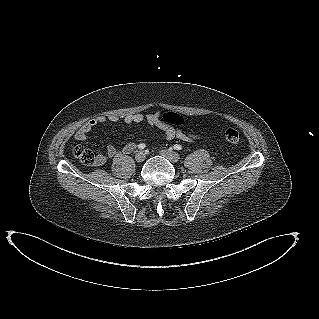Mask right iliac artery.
<instances>
[{
  "label": "right iliac artery",
  "mask_w": 319,
  "mask_h": 319,
  "mask_svg": "<svg viewBox=\"0 0 319 319\" xmlns=\"http://www.w3.org/2000/svg\"><path fill=\"white\" fill-rule=\"evenodd\" d=\"M145 147H146V145L144 143H140L138 145V149H140V150L144 149Z\"/></svg>",
  "instance_id": "1"
}]
</instances>
